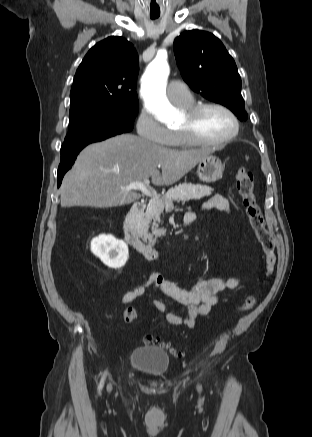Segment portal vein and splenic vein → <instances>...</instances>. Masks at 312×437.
Returning a JSON list of instances; mask_svg holds the SVG:
<instances>
[{
  "mask_svg": "<svg viewBox=\"0 0 312 437\" xmlns=\"http://www.w3.org/2000/svg\"><path fill=\"white\" fill-rule=\"evenodd\" d=\"M124 190H140L143 194L155 200L157 197V192L150 187L149 180L143 182H131L128 186L123 187ZM167 209H173V205L167 206Z\"/></svg>",
  "mask_w": 312,
  "mask_h": 437,
  "instance_id": "obj_1",
  "label": "portal vein and splenic vein"
}]
</instances>
